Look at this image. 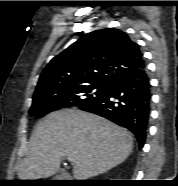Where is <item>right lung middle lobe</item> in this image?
<instances>
[{"label":"right lung middle lobe","mask_w":178,"mask_h":186,"mask_svg":"<svg viewBox=\"0 0 178 186\" xmlns=\"http://www.w3.org/2000/svg\"><path fill=\"white\" fill-rule=\"evenodd\" d=\"M108 86V84L93 83L71 88L39 91L33 96L29 114L41 118L61 108L81 107L99 98L106 92Z\"/></svg>","instance_id":"right-lung-middle-lobe-1"}]
</instances>
